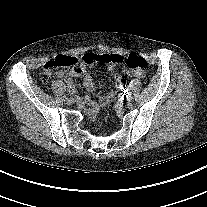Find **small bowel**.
I'll list each match as a JSON object with an SVG mask.
<instances>
[{"mask_svg":"<svg viewBox=\"0 0 207 207\" xmlns=\"http://www.w3.org/2000/svg\"><path fill=\"white\" fill-rule=\"evenodd\" d=\"M109 68L112 69L113 66H110ZM124 74L131 76V77H134L136 79L142 78L144 76V72H142V71L125 70ZM124 74H121V73L116 74L115 75V88L110 93L99 97V103H100L101 108L107 107L111 103L113 97L118 92L124 91V89H125V85L123 83ZM58 75L62 78H68V76H70V75H74V76L82 75L83 76V84H84L85 88L90 92L95 90L93 78L90 74H88L86 72V70L83 66L80 67L78 70H76L74 73L59 72ZM71 88H72V86H71ZM90 104H91V108L88 113L91 118H94L97 116V114L99 112V106L97 104L91 103V102H90Z\"/></svg>","mask_w":207,"mask_h":207,"instance_id":"c3829d8e","label":"small bowel"}]
</instances>
